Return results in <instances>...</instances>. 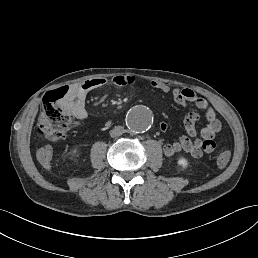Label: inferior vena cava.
<instances>
[{
  "mask_svg": "<svg viewBox=\"0 0 258 258\" xmlns=\"http://www.w3.org/2000/svg\"><path fill=\"white\" fill-rule=\"evenodd\" d=\"M124 133V128L122 126L114 127L113 130L110 131L111 137H118Z\"/></svg>",
  "mask_w": 258,
  "mask_h": 258,
  "instance_id": "602c4592",
  "label": "inferior vena cava"
}]
</instances>
